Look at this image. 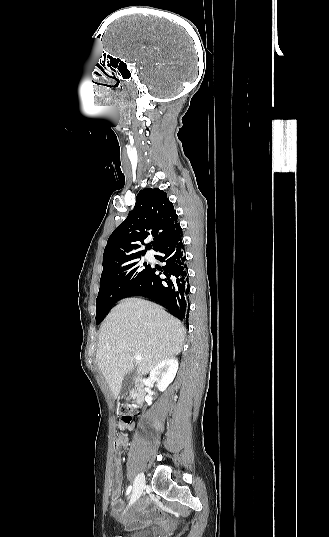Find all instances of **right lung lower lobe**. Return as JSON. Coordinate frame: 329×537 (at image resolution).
I'll use <instances>...</instances> for the list:
<instances>
[{"label":"right lung lower lobe","mask_w":329,"mask_h":537,"mask_svg":"<svg viewBox=\"0 0 329 537\" xmlns=\"http://www.w3.org/2000/svg\"><path fill=\"white\" fill-rule=\"evenodd\" d=\"M156 251L161 253L155 256L156 259L166 265L162 268L149 266L126 297H147L168 308L180 320H187L190 285L182 230L162 243Z\"/></svg>","instance_id":"98d812e1"}]
</instances>
